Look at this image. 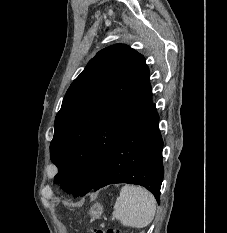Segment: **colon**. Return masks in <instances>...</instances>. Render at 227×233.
<instances>
[{"instance_id":"1","label":"colon","mask_w":227,"mask_h":233,"mask_svg":"<svg viewBox=\"0 0 227 233\" xmlns=\"http://www.w3.org/2000/svg\"><path fill=\"white\" fill-rule=\"evenodd\" d=\"M85 233H120L119 230L109 228V229H87Z\"/></svg>"}]
</instances>
